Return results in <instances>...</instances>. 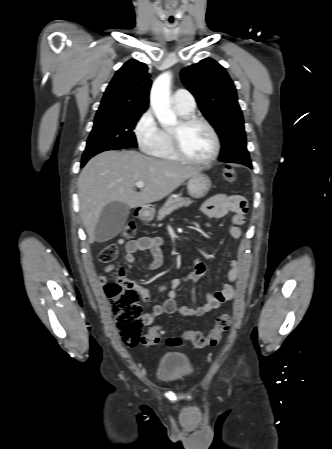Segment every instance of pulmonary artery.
Instances as JSON below:
<instances>
[{
	"instance_id": "e3ab8cb5",
	"label": "pulmonary artery",
	"mask_w": 332,
	"mask_h": 449,
	"mask_svg": "<svg viewBox=\"0 0 332 449\" xmlns=\"http://www.w3.org/2000/svg\"><path fill=\"white\" fill-rule=\"evenodd\" d=\"M173 105L185 113H191L195 109V99L186 89H178L172 95Z\"/></svg>"
}]
</instances>
